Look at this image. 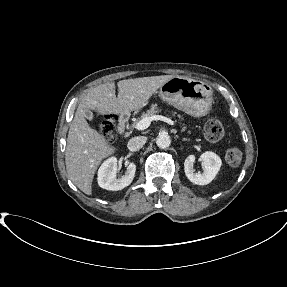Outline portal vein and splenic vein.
Wrapping results in <instances>:
<instances>
[{
    "label": "portal vein and splenic vein",
    "mask_w": 287,
    "mask_h": 287,
    "mask_svg": "<svg viewBox=\"0 0 287 287\" xmlns=\"http://www.w3.org/2000/svg\"><path fill=\"white\" fill-rule=\"evenodd\" d=\"M153 120H160V121H164V122H166V123H168L170 125H174V122L171 119L167 118V117H164L162 115H153L151 117H144L143 119H141L136 124L135 128L137 130H145V129H147L150 126V124H151V122Z\"/></svg>",
    "instance_id": "18ae733b"
}]
</instances>
